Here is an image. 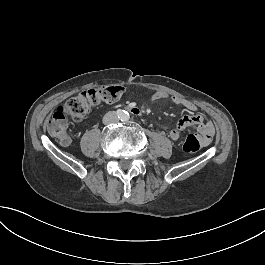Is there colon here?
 I'll return each instance as SVG.
<instances>
[{"mask_svg": "<svg viewBox=\"0 0 265 265\" xmlns=\"http://www.w3.org/2000/svg\"><path fill=\"white\" fill-rule=\"evenodd\" d=\"M123 94L122 86H101L98 88L87 89L78 95L69 98L60 105L46 123L48 131L59 141L61 146L68 147L71 138L68 133L67 118L75 120L84 119L93 109L112 104L117 101ZM198 137L189 134L185 138L183 151L192 154L201 147Z\"/></svg>", "mask_w": 265, "mask_h": 265, "instance_id": "5ec220e1", "label": "colon"}]
</instances>
